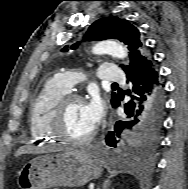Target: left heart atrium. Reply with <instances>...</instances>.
Instances as JSON below:
<instances>
[{"label": "left heart atrium", "mask_w": 188, "mask_h": 189, "mask_svg": "<svg viewBox=\"0 0 188 189\" xmlns=\"http://www.w3.org/2000/svg\"><path fill=\"white\" fill-rule=\"evenodd\" d=\"M85 106L86 114L92 125H98L104 115V104L101 98L97 94H94Z\"/></svg>", "instance_id": "1"}]
</instances>
